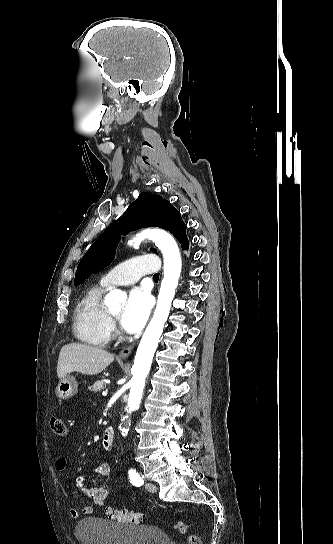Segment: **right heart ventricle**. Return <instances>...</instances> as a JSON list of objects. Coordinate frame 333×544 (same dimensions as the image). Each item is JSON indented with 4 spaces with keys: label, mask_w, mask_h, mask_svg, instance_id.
<instances>
[{
    "label": "right heart ventricle",
    "mask_w": 333,
    "mask_h": 544,
    "mask_svg": "<svg viewBox=\"0 0 333 544\" xmlns=\"http://www.w3.org/2000/svg\"><path fill=\"white\" fill-rule=\"evenodd\" d=\"M106 287H91L75 309L74 331L79 340L94 346H105L110 338L111 320L102 303Z\"/></svg>",
    "instance_id": "1"
}]
</instances>
